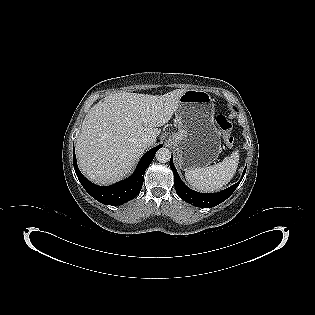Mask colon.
Instances as JSON below:
<instances>
[{"label":"colon","mask_w":315,"mask_h":315,"mask_svg":"<svg viewBox=\"0 0 315 315\" xmlns=\"http://www.w3.org/2000/svg\"><path fill=\"white\" fill-rule=\"evenodd\" d=\"M216 124L224 134V142L227 147H232L234 145V138L231 134L232 132V123L231 121L223 114H219L216 117Z\"/></svg>","instance_id":"obj_1"}]
</instances>
